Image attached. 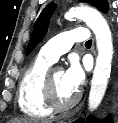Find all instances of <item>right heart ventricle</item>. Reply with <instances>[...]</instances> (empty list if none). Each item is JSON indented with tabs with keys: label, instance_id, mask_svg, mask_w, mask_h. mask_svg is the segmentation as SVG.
Returning <instances> with one entry per match:
<instances>
[{
	"label": "right heart ventricle",
	"instance_id": "obj_1",
	"mask_svg": "<svg viewBox=\"0 0 118 123\" xmlns=\"http://www.w3.org/2000/svg\"><path fill=\"white\" fill-rule=\"evenodd\" d=\"M52 63L39 55L23 73L18 87V106L31 117L43 118L51 115L52 110L44 101L43 82Z\"/></svg>",
	"mask_w": 118,
	"mask_h": 123
}]
</instances>
